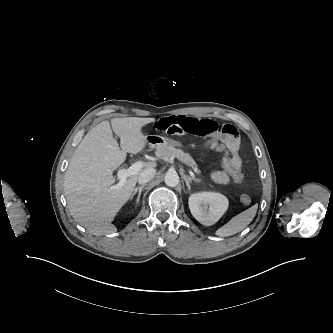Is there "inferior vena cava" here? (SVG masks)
Listing matches in <instances>:
<instances>
[{"label":"inferior vena cava","instance_id":"inferior-vena-cava-1","mask_svg":"<svg viewBox=\"0 0 333 333\" xmlns=\"http://www.w3.org/2000/svg\"><path fill=\"white\" fill-rule=\"evenodd\" d=\"M155 173V169H146L142 171L138 177V183L141 185L146 184L154 178Z\"/></svg>","mask_w":333,"mask_h":333}]
</instances>
